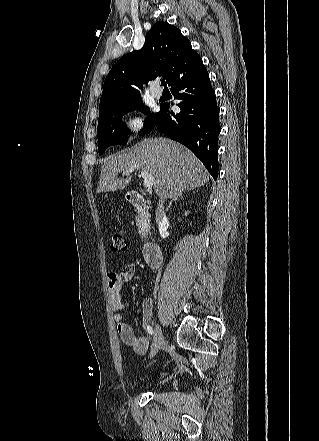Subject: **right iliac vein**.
Masks as SVG:
<instances>
[{"instance_id":"1","label":"right iliac vein","mask_w":319,"mask_h":441,"mask_svg":"<svg viewBox=\"0 0 319 441\" xmlns=\"http://www.w3.org/2000/svg\"><path fill=\"white\" fill-rule=\"evenodd\" d=\"M163 344H164V336L162 333V329L157 324L155 327L150 357H154L158 353V351L160 350V348L162 347Z\"/></svg>"}]
</instances>
